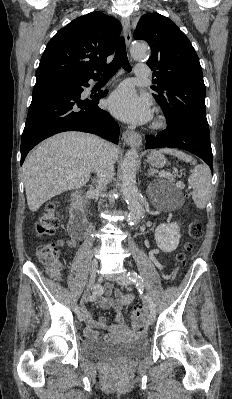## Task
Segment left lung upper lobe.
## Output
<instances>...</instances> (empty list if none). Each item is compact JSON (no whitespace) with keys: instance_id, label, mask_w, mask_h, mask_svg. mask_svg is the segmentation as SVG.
I'll list each match as a JSON object with an SVG mask.
<instances>
[{"instance_id":"5c2ea615","label":"left lung upper lobe","mask_w":232,"mask_h":399,"mask_svg":"<svg viewBox=\"0 0 232 399\" xmlns=\"http://www.w3.org/2000/svg\"><path fill=\"white\" fill-rule=\"evenodd\" d=\"M134 38L147 41L152 49L147 65L157 86L151 88L167 121L186 124L210 136L202 69L189 39L174 22L158 13L141 17Z\"/></svg>"}]
</instances>
